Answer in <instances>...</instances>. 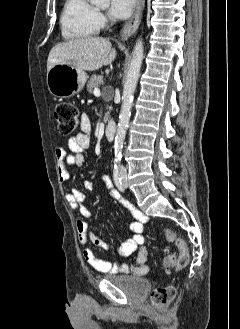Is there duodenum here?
<instances>
[{
  "label": "duodenum",
  "mask_w": 240,
  "mask_h": 329,
  "mask_svg": "<svg viewBox=\"0 0 240 329\" xmlns=\"http://www.w3.org/2000/svg\"><path fill=\"white\" fill-rule=\"evenodd\" d=\"M116 133V125L114 121H109L105 127V137L111 141L114 139Z\"/></svg>",
  "instance_id": "obj_1"
}]
</instances>
